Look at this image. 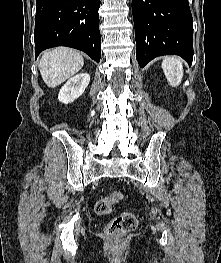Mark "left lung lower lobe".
I'll return each instance as SVG.
<instances>
[{
    "label": "left lung lower lobe",
    "mask_w": 221,
    "mask_h": 263,
    "mask_svg": "<svg viewBox=\"0 0 221 263\" xmlns=\"http://www.w3.org/2000/svg\"><path fill=\"white\" fill-rule=\"evenodd\" d=\"M136 59L140 67L162 55L193 59V19L188 0H132Z\"/></svg>",
    "instance_id": "obj_1"
}]
</instances>
